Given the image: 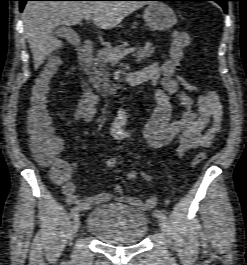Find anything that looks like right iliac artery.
<instances>
[{"label":"right iliac artery","mask_w":247,"mask_h":265,"mask_svg":"<svg viewBox=\"0 0 247 265\" xmlns=\"http://www.w3.org/2000/svg\"><path fill=\"white\" fill-rule=\"evenodd\" d=\"M91 204L89 203H84L78 206H75L71 209L70 216L73 217L75 216L78 212L83 211V210H88L91 208Z\"/></svg>","instance_id":"right-iliac-artery-1"}]
</instances>
